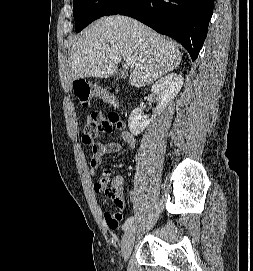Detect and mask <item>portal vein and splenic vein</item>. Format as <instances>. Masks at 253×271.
<instances>
[{"instance_id": "portal-vein-and-splenic-vein-1", "label": "portal vein and splenic vein", "mask_w": 253, "mask_h": 271, "mask_svg": "<svg viewBox=\"0 0 253 271\" xmlns=\"http://www.w3.org/2000/svg\"><path fill=\"white\" fill-rule=\"evenodd\" d=\"M125 61H126V65H127V66H130V67L133 66V62L130 61L129 59H126Z\"/></svg>"}]
</instances>
